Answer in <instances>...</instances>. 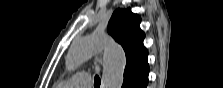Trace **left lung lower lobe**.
Segmentation results:
<instances>
[{"label":"left lung lower lobe","instance_id":"1","mask_svg":"<svg viewBox=\"0 0 223 88\" xmlns=\"http://www.w3.org/2000/svg\"><path fill=\"white\" fill-rule=\"evenodd\" d=\"M148 63L142 67H136L124 72L122 88H146L148 83Z\"/></svg>","mask_w":223,"mask_h":88}]
</instances>
